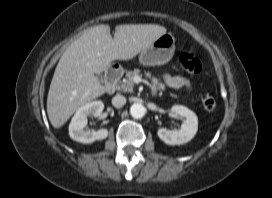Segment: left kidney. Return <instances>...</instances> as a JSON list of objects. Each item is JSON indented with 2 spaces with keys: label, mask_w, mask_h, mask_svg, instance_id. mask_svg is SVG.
I'll use <instances>...</instances> for the list:
<instances>
[{
  "label": "left kidney",
  "mask_w": 272,
  "mask_h": 198,
  "mask_svg": "<svg viewBox=\"0 0 272 198\" xmlns=\"http://www.w3.org/2000/svg\"><path fill=\"white\" fill-rule=\"evenodd\" d=\"M171 111L184 118L181 128L180 130L159 128L157 130L158 137L168 145H181L189 142L198 130V118L196 114L182 105H174Z\"/></svg>",
  "instance_id": "1"
}]
</instances>
